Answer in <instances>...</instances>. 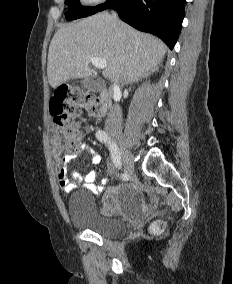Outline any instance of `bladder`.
Here are the masks:
<instances>
[{
	"mask_svg": "<svg viewBox=\"0 0 233 284\" xmlns=\"http://www.w3.org/2000/svg\"><path fill=\"white\" fill-rule=\"evenodd\" d=\"M109 194H113L123 204H134L140 200L138 192L131 186L120 187L104 197L113 204ZM68 213L73 226L92 231L104 238H116L127 231V224L122 219L100 214L93 196L87 191H75L71 194Z\"/></svg>",
	"mask_w": 233,
	"mask_h": 284,
	"instance_id": "obj_1",
	"label": "bladder"
}]
</instances>
